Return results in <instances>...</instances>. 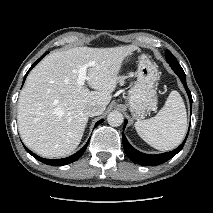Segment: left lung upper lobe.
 Here are the masks:
<instances>
[{
	"label": "left lung upper lobe",
	"mask_w": 213,
	"mask_h": 213,
	"mask_svg": "<svg viewBox=\"0 0 213 213\" xmlns=\"http://www.w3.org/2000/svg\"><path fill=\"white\" fill-rule=\"evenodd\" d=\"M165 56H166L167 62L170 64L171 68L176 74L178 73L185 74L182 67L180 66V64L177 62L176 58L174 57V55L169 50L165 52Z\"/></svg>",
	"instance_id": "left-lung-upper-lobe-1"
}]
</instances>
